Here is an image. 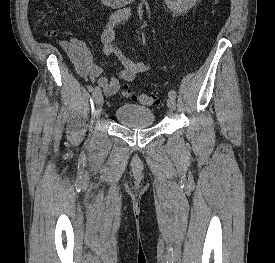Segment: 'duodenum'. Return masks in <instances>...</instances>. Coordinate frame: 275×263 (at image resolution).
Wrapping results in <instances>:
<instances>
[{
	"instance_id": "410a0bca",
	"label": "duodenum",
	"mask_w": 275,
	"mask_h": 263,
	"mask_svg": "<svg viewBox=\"0 0 275 263\" xmlns=\"http://www.w3.org/2000/svg\"><path fill=\"white\" fill-rule=\"evenodd\" d=\"M105 6L108 7H122L126 6L135 0H100Z\"/></svg>"
}]
</instances>
